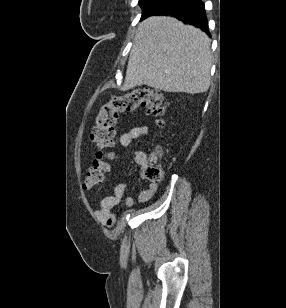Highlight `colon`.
<instances>
[{"mask_svg": "<svg viewBox=\"0 0 286 308\" xmlns=\"http://www.w3.org/2000/svg\"><path fill=\"white\" fill-rule=\"evenodd\" d=\"M167 102L158 91L148 87H138L129 92L114 95L103 104L96 117V125L92 131V141L97 147L96 159L87 169L83 186L86 189L100 185L108 170L109 149L113 146L116 135V124L122 112H134L139 108L157 117H162L167 109ZM162 124L161 120H158ZM143 174L151 181H159L163 172L159 163V153L156 151L144 162Z\"/></svg>", "mask_w": 286, "mask_h": 308, "instance_id": "obj_1", "label": "colon"}]
</instances>
